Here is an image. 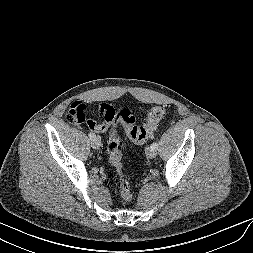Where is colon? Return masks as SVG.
<instances>
[{
  "mask_svg": "<svg viewBox=\"0 0 253 253\" xmlns=\"http://www.w3.org/2000/svg\"><path fill=\"white\" fill-rule=\"evenodd\" d=\"M165 114L166 111L162 106H154L149 111L145 122L142 125H136L132 113L128 109L122 108L115 112L113 124H121L129 139L134 143L141 144L152 136ZM67 119L74 124H91L92 122V119L87 116L86 107L81 103H74L70 106ZM107 152L110 164L119 175V195L124 202H129L132 200L133 193L130 182L123 172L120 140L115 129H112L109 134Z\"/></svg>",
  "mask_w": 253,
  "mask_h": 253,
  "instance_id": "1",
  "label": "colon"
}]
</instances>
